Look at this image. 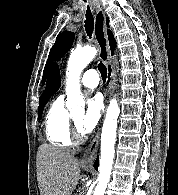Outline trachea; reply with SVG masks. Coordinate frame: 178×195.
<instances>
[{
	"label": "trachea",
	"mask_w": 178,
	"mask_h": 195,
	"mask_svg": "<svg viewBox=\"0 0 178 195\" xmlns=\"http://www.w3.org/2000/svg\"><path fill=\"white\" fill-rule=\"evenodd\" d=\"M85 25V29H86V33L89 37L92 36V32H93V27H94V19H93V15L91 13V10L89 8V6L87 7V10H86V19L84 21ZM98 69L101 73V77H102V80L103 82L106 81V78H107V69L106 67L104 66V64L100 63L98 65Z\"/></svg>",
	"instance_id": "obj_1"
}]
</instances>
